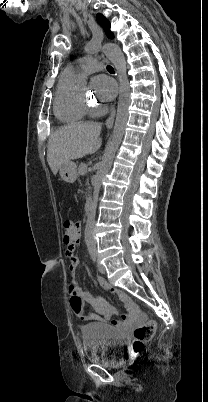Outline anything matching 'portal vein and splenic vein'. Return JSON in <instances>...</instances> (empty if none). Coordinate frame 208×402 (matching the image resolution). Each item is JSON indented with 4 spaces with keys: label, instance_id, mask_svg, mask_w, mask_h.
<instances>
[{
    "label": "portal vein and splenic vein",
    "instance_id": "18ae733b",
    "mask_svg": "<svg viewBox=\"0 0 208 402\" xmlns=\"http://www.w3.org/2000/svg\"><path fill=\"white\" fill-rule=\"evenodd\" d=\"M87 166H88V163H87V162H83L82 165L80 166V169H81V170H84L85 167H87Z\"/></svg>",
    "mask_w": 208,
    "mask_h": 402
}]
</instances>
